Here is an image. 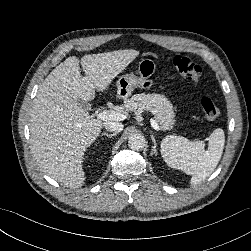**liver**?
<instances>
[{
	"label": "liver",
	"mask_w": 251,
	"mask_h": 251,
	"mask_svg": "<svg viewBox=\"0 0 251 251\" xmlns=\"http://www.w3.org/2000/svg\"><path fill=\"white\" fill-rule=\"evenodd\" d=\"M137 50H120L71 56L59 64L39 87L31 111V151L42 171L56 181L79 187L85 181L82 163L103 123L89 115L78 101L95 98L137 56ZM85 77L80 75V66Z\"/></svg>",
	"instance_id": "6515ba94"
}]
</instances>
